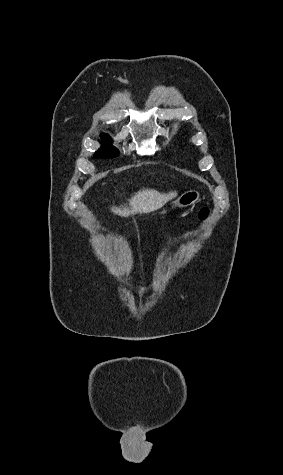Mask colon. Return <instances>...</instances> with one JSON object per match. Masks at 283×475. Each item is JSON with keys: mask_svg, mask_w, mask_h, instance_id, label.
I'll use <instances>...</instances> for the list:
<instances>
[{"mask_svg": "<svg viewBox=\"0 0 283 475\" xmlns=\"http://www.w3.org/2000/svg\"><path fill=\"white\" fill-rule=\"evenodd\" d=\"M210 209L208 207H203L200 209L199 216L201 219H205L209 215Z\"/></svg>", "mask_w": 283, "mask_h": 475, "instance_id": "5ec220e1", "label": "colon"}]
</instances>
